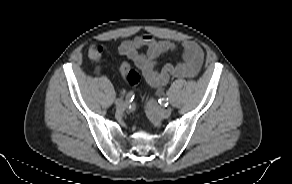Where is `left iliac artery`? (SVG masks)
<instances>
[{
  "label": "left iliac artery",
  "instance_id": "left-iliac-artery-1",
  "mask_svg": "<svg viewBox=\"0 0 292 184\" xmlns=\"http://www.w3.org/2000/svg\"><path fill=\"white\" fill-rule=\"evenodd\" d=\"M158 102H159L161 105H164V106H167V105L169 104V100H168V98H164V97L160 98V99L158 100Z\"/></svg>",
  "mask_w": 292,
  "mask_h": 184
}]
</instances>
